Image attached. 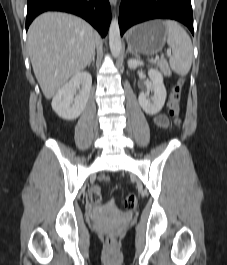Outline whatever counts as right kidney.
<instances>
[{"label":"right kidney","mask_w":227,"mask_h":265,"mask_svg":"<svg viewBox=\"0 0 227 265\" xmlns=\"http://www.w3.org/2000/svg\"><path fill=\"white\" fill-rule=\"evenodd\" d=\"M79 95L74 98L76 90ZM92 86L90 73L82 71L74 75L69 82L62 86L52 100V108L56 114L65 120H74L84 111Z\"/></svg>","instance_id":"ca27d5eb"}]
</instances>
